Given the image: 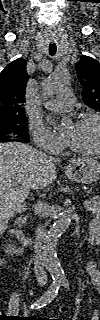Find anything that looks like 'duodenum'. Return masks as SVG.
<instances>
[{"mask_svg": "<svg viewBox=\"0 0 100 320\" xmlns=\"http://www.w3.org/2000/svg\"><path fill=\"white\" fill-rule=\"evenodd\" d=\"M25 224V219L24 218H20L17 220V225L22 228ZM19 240L22 244L29 246L32 243V237L30 235H26V234H22L19 237Z\"/></svg>", "mask_w": 100, "mask_h": 320, "instance_id": "obj_1", "label": "duodenum"}]
</instances>
